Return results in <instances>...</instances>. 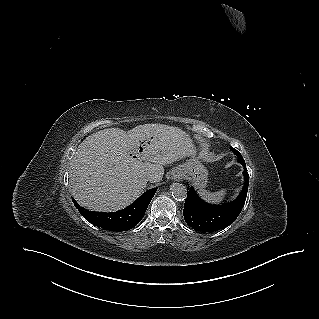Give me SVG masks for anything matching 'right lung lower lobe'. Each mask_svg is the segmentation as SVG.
Returning a JSON list of instances; mask_svg holds the SVG:
<instances>
[{
	"instance_id": "obj_1",
	"label": "right lung lower lobe",
	"mask_w": 319,
	"mask_h": 319,
	"mask_svg": "<svg viewBox=\"0 0 319 319\" xmlns=\"http://www.w3.org/2000/svg\"><path fill=\"white\" fill-rule=\"evenodd\" d=\"M156 191L157 188L150 189L127 208L110 213L89 211L80 207L74 199L73 202L81 215L93 225L106 230L120 232L129 230L139 223Z\"/></svg>"
}]
</instances>
